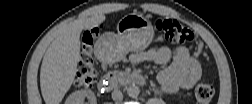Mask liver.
I'll return each instance as SVG.
<instances>
[{
  "label": "liver",
  "mask_w": 252,
  "mask_h": 104,
  "mask_svg": "<svg viewBox=\"0 0 252 104\" xmlns=\"http://www.w3.org/2000/svg\"><path fill=\"white\" fill-rule=\"evenodd\" d=\"M105 21V15L95 14L77 19L58 29L47 48L40 70L42 97L47 104H58L74 82L80 54V34Z\"/></svg>",
  "instance_id": "1"
}]
</instances>
